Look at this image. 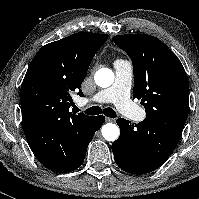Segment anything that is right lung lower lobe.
Here are the masks:
<instances>
[{"label":"right lung lower lobe","instance_id":"right-lung-lower-lobe-1","mask_svg":"<svg viewBox=\"0 0 199 199\" xmlns=\"http://www.w3.org/2000/svg\"><path fill=\"white\" fill-rule=\"evenodd\" d=\"M105 117L94 116L73 131L58 153L50 150L49 141L36 131L25 132L28 144L36 158L49 170L57 173L71 172L84 161L87 147Z\"/></svg>","mask_w":199,"mask_h":199}]
</instances>
